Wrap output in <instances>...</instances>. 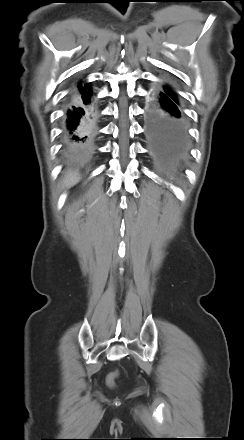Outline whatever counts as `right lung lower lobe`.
Listing matches in <instances>:
<instances>
[{
    "mask_svg": "<svg viewBox=\"0 0 244 440\" xmlns=\"http://www.w3.org/2000/svg\"><path fill=\"white\" fill-rule=\"evenodd\" d=\"M97 113L91 96H70L63 121V143L68 150H77L91 142L96 133Z\"/></svg>",
    "mask_w": 244,
    "mask_h": 440,
    "instance_id": "right-lung-lower-lobe-1",
    "label": "right lung lower lobe"
}]
</instances>
